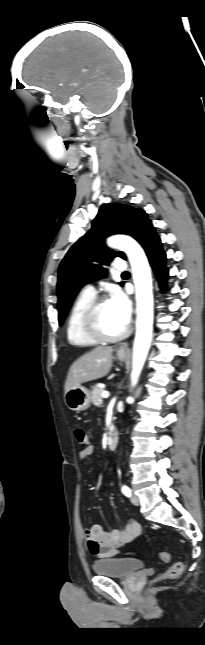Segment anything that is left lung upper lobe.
<instances>
[{
    "mask_svg": "<svg viewBox=\"0 0 205 645\" xmlns=\"http://www.w3.org/2000/svg\"><path fill=\"white\" fill-rule=\"evenodd\" d=\"M151 226L153 225L147 213L141 208L119 203L100 207L91 229L69 249L59 266V325L63 324L79 290L106 274L103 265H108L116 256L126 258L123 252L108 249L104 243L105 238L113 234H126L140 243Z\"/></svg>",
    "mask_w": 205,
    "mask_h": 645,
    "instance_id": "left-lung-upper-lobe-1",
    "label": "left lung upper lobe"
}]
</instances>
